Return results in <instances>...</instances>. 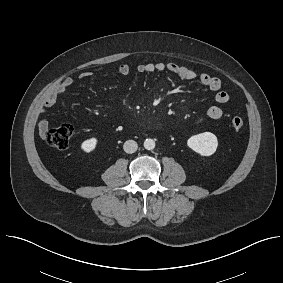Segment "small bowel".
I'll use <instances>...</instances> for the list:
<instances>
[{
    "mask_svg": "<svg viewBox=\"0 0 283 283\" xmlns=\"http://www.w3.org/2000/svg\"><path fill=\"white\" fill-rule=\"evenodd\" d=\"M135 71L140 74H150L154 72L167 71L171 74L178 76L179 78L187 81L197 80L202 86L208 88L209 90L215 92V101L218 105H213L207 108L203 116L198 117L195 121V125L202 124L205 119L217 120L223 116V110L220 105H224L229 101V95L227 92L222 90V83L219 78L211 76L206 73L198 74L196 71L173 62H156V63H144L139 64L135 67ZM116 73L120 75H127L131 72V67L129 65H120L116 70ZM92 76L90 72H83L80 74V79H88ZM73 80L71 78H66L44 101V104L40 110V119L38 122V127L40 133L44 134L48 129L49 123L44 117L45 113L52 108L57 101L60 102L62 106H66V92L72 86Z\"/></svg>",
    "mask_w": 283,
    "mask_h": 283,
    "instance_id": "1",
    "label": "small bowel"
}]
</instances>
